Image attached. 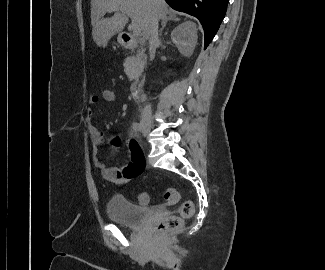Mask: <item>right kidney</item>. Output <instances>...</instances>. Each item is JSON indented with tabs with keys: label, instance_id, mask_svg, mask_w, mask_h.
<instances>
[{
	"label": "right kidney",
	"instance_id": "ca27d5eb",
	"mask_svg": "<svg viewBox=\"0 0 325 270\" xmlns=\"http://www.w3.org/2000/svg\"><path fill=\"white\" fill-rule=\"evenodd\" d=\"M171 39L183 57H190L197 44V29L192 22H184L171 33Z\"/></svg>",
	"mask_w": 325,
	"mask_h": 270
}]
</instances>
